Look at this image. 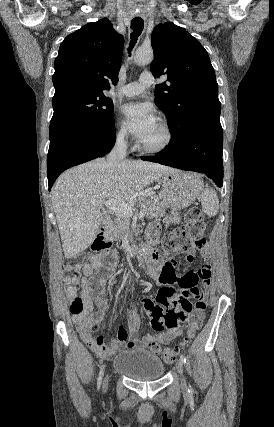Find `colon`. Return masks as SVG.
I'll list each match as a JSON object with an SVG mask.
<instances>
[{
  "label": "colon",
  "instance_id": "1",
  "mask_svg": "<svg viewBox=\"0 0 274 427\" xmlns=\"http://www.w3.org/2000/svg\"><path fill=\"white\" fill-rule=\"evenodd\" d=\"M205 228L206 225L202 210L198 207L189 208L186 212L185 224L175 227L164 236L157 255L161 256L163 259H167L172 257L175 253H178L179 248H188L194 245L197 236H204ZM82 262L83 257H81V255H74L67 258L64 264L66 273L64 280L68 292L67 301L72 315H81L84 312V305L77 290L79 280L78 271ZM206 317L207 311H194L193 317H189L188 322L191 323V328L186 331L185 337L180 338L182 349H187L188 346L193 345V341L197 338L196 332L202 329V318ZM90 327L92 329L91 332H94V330L99 327V324L97 321H92ZM154 346L156 347L157 345L155 344ZM172 352L171 347H156L155 349L156 356H160L161 359H166L167 364L177 363V356L174 353L172 354Z\"/></svg>",
  "mask_w": 274,
  "mask_h": 427
}]
</instances>
